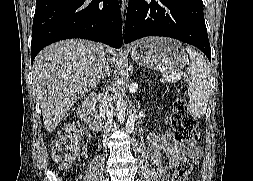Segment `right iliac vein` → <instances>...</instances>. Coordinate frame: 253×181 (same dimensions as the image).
Segmentation results:
<instances>
[{"instance_id": "right-iliac-vein-1", "label": "right iliac vein", "mask_w": 253, "mask_h": 181, "mask_svg": "<svg viewBox=\"0 0 253 181\" xmlns=\"http://www.w3.org/2000/svg\"><path fill=\"white\" fill-rule=\"evenodd\" d=\"M103 181H109L107 178L105 179V180H103Z\"/></svg>"}]
</instances>
